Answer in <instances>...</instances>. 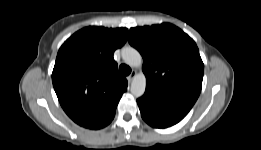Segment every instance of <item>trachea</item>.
Instances as JSON below:
<instances>
[{
  "label": "trachea",
  "instance_id": "obj_1",
  "mask_svg": "<svg viewBox=\"0 0 261 150\" xmlns=\"http://www.w3.org/2000/svg\"><path fill=\"white\" fill-rule=\"evenodd\" d=\"M119 70H120V73L125 76H127L131 73V68L125 64H121L119 67Z\"/></svg>",
  "mask_w": 261,
  "mask_h": 150
}]
</instances>
